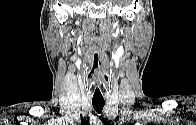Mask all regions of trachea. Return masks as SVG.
Segmentation results:
<instances>
[{"label": "trachea", "instance_id": "obj_1", "mask_svg": "<svg viewBox=\"0 0 196 125\" xmlns=\"http://www.w3.org/2000/svg\"><path fill=\"white\" fill-rule=\"evenodd\" d=\"M92 105L96 112L101 113L105 105L104 100H92Z\"/></svg>", "mask_w": 196, "mask_h": 125}]
</instances>
